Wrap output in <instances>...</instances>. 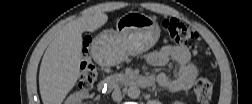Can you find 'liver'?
<instances>
[{
  "label": "liver",
  "mask_w": 252,
  "mask_h": 104,
  "mask_svg": "<svg viewBox=\"0 0 252 104\" xmlns=\"http://www.w3.org/2000/svg\"><path fill=\"white\" fill-rule=\"evenodd\" d=\"M108 16L98 12L77 18L58 30L46 49L39 71V90L45 104H61L80 76L82 33L103 26Z\"/></svg>",
  "instance_id": "obj_1"
}]
</instances>
